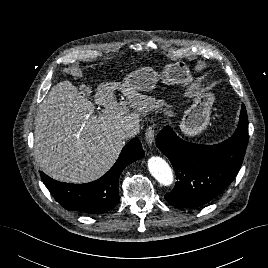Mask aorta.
Masks as SVG:
<instances>
[{"mask_svg": "<svg viewBox=\"0 0 268 268\" xmlns=\"http://www.w3.org/2000/svg\"><path fill=\"white\" fill-rule=\"evenodd\" d=\"M148 169L151 175L162 185L173 183V173L169 164L161 157L152 156L148 159Z\"/></svg>", "mask_w": 268, "mask_h": 268, "instance_id": "obj_1", "label": "aorta"}]
</instances>
